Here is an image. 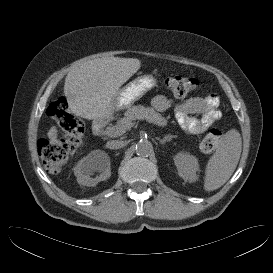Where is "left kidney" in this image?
<instances>
[{"label": "left kidney", "mask_w": 273, "mask_h": 273, "mask_svg": "<svg viewBox=\"0 0 273 273\" xmlns=\"http://www.w3.org/2000/svg\"><path fill=\"white\" fill-rule=\"evenodd\" d=\"M174 163L178 170V175L185 181L195 182L198 179L199 171L198 159L185 152H179L174 157Z\"/></svg>", "instance_id": "5707ae66"}]
</instances>
